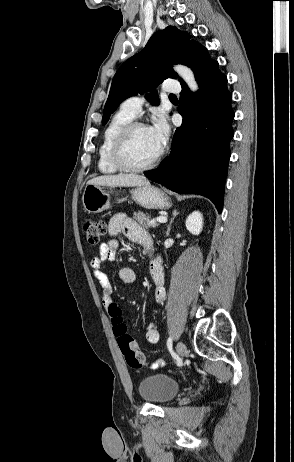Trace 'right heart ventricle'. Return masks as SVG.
<instances>
[{"label": "right heart ventricle", "mask_w": 294, "mask_h": 462, "mask_svg": "<svg viewBox=\"0 0 294 462\" xmlns=\"http://www.w3.org/2000/svg\"><path fill=\"white\" fill-rule=\"evenodd\" d=\"M134 115L122 107L113 115L107 124L98 149V169L103 174H115L120 170L113 165L110 159L111 145L120 130L134 119Z\"/></svg>", "instance_id": "obj_1"}]
</instances>
